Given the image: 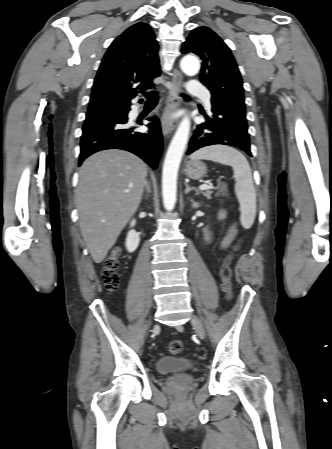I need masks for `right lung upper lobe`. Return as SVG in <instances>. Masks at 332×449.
Segmentation results:
<instances>
[{
  "instance_id": "cb5924a9",
  "label": "right lung upper lobe",
  "mask_w": 332,
  "mask_h": 449,
  "mask_svg": "<svg viewBox=\"0 0 332 449\" xmlns=\"http://www.w3.org/2000/svg\"><path fill=\"white\" fill-rule=\"evenodd\" d=\"M158 49L152 29L143 22L118 36L102 59L87 113L126 109L140 91L154 88L152 81L161 73Z\"/></svg>"
}]
</instances>
